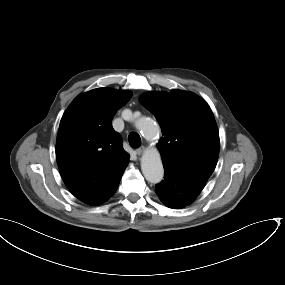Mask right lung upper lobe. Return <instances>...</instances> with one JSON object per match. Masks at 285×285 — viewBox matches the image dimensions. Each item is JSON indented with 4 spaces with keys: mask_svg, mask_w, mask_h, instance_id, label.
Instances as JSON below:
<instances>
[{
    "mask_svg": "<svg viewBox=\"0 0 285 285\" xmlns=\"http://www.w3.org/2000/svg\"><path fill=\"white\" fill-rule=\"evenodd\" d=\"M131 96L129 91L93 89L78 95L61 119L57 164L67 188L84 203L102 204L118 188L129 154L111 122Z\"/></svg>",
    "mask_w": 285,
    "mask_h": 285,
    "instance_id": "right-lung-upper-lobe-1",
    "label": "right lung upper lobe"
}]
</instances>
